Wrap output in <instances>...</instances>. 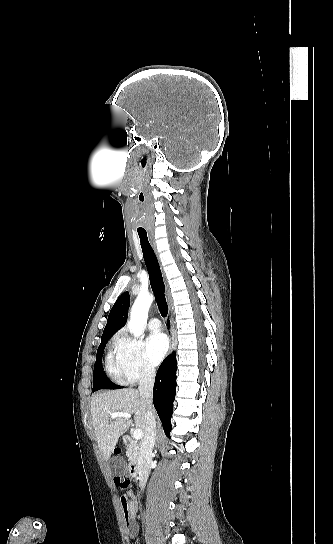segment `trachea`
Instances as JSON below:
<instances>
[{
  "instance_id": "obj_1",
  "label": "trachea",
  "mask_w": 333,
  "mask_h": 544,
  "mask_svg": "<svg viewBox=\"0 0 333 544\" xmlns=\"http://www.w3.org/2000/svg\"><path fill=\"white\" fill-rule=\"evenodd\" d=\"M143 258L149 274L150 285L156 297V303L163 317L168 314V305L165 298V286L157 257L148 241L146 233L139 232Z\"/></svg>"
}]
</instances>
